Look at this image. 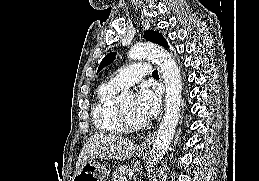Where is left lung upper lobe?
Here are the masks:
<instances>
[{
    "mask_svg": "<svg viewBox=\"0 0 259 181\" xmlns=\"http://www.w3.org/2000/svg\"><path fill=\"white\" fill-rule=\"evenodd\" d=\"M144 38L148 41L161 45L163 47L168 48V43L166 39L159 33L153 30H148L144 33ZM116 53H109L105 58L101 61L98 72L103 69L106 65L111 63L115 59Z\"/></svg>",
    "mask_w": 259,
    "mask_h": 181,
    "instance_id": "5c2ea615",
    "label": "left lung upper lobe"
}]
</instances>
